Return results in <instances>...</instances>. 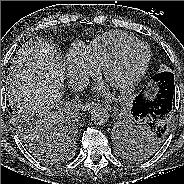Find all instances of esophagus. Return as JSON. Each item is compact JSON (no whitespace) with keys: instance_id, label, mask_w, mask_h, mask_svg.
I'll return each mask as SVG.
<instances>
[{"instance_id":"34e87169","label":"esophagus","mask_w":184,"mask_h":184,"mask_svg":"<svg viewBox=\"0 0 184 184\" xmlns=\"http://www.w3.org/2000/svg\"><path fill=\"white\" fill-rule=\"evenodd\" d=\"M96 104L94 102H86L82 105V110L89 111L91 108H93Z\"/></svg>"}]
</instances>
